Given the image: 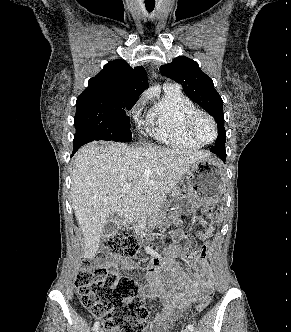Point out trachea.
<instances>
[{"instance_id":"trachea-1","label":"trachea","mask_w":291,"mask_h":332,"mask_svg":"<svg viewBox=\"0 0 291 332\" xmlns=\"http://www.w3.org/2000/svg\"><path fill=\"white\" fill-rule=\"evenodd\" d=\"M145 7H146V10L150 13L154 10V7H155V2L153 3H146L145 2Z\"/></svg>"}]
</instances>
